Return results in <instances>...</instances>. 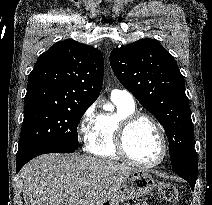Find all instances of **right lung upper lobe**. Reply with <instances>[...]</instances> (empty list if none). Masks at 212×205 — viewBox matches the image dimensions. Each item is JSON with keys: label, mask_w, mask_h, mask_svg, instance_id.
I'll use <instances>...</instances> for the list:
<instances>
[{"label": "right lung upper lobe", "mask_w": 212, "mask_h": 205, "mask_svg": "<svg viewBox=\"0 0 212 205\" xmlns=\"http://www.w3.org/2000/svg\"><path fill=\"white\" fill-rule=\"evenodd\" d=\"M103 72L98 49L74 40L57 42L29 74L24 103L90 106L101 91Z\"/></svg>", "instance_id": "1"}]
</instances>
